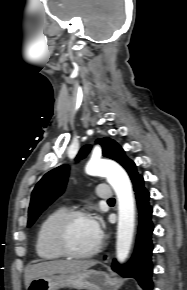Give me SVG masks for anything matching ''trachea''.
<instances>
[{
  "label": "trachea",
  "mask_w": 187,
  "mask_h": 290,
  "mask_svg": "<svg viewBox=\"0 0 187 290\" xmlns=\"http://www.w3.org/2000/svg\"><path fill=\"white\" fill-rule=\"evenodd\" d=\"M109 201H114V199L112 198V199H110Z\"/></svg>",
  "instance_id": "3493384b"
}]
</instances>
